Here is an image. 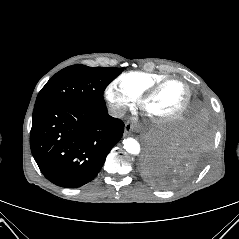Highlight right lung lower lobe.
Wrapping results in <instances>:
<instances>
[{
    "mask_svg": "<svg viewBox=\"0 0 239 239\" xmlns=\"http://www.w3.org/2000/svg\"><path fill=\"white\" fill-rule=\"evenodd\" d=\"M32 120V155L43 175L65 188L93 180L124 131V123L108 115L106 106H39Z\"/></svg>",
    "mask_w": 239,
    "mask_h": 239,
    "instance_id": "98d812e1",
    "label": "right lung lower lobe"
}]
</instances>
